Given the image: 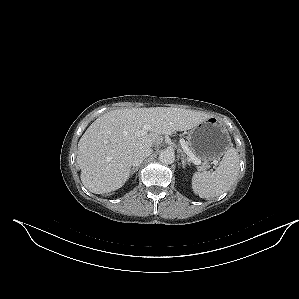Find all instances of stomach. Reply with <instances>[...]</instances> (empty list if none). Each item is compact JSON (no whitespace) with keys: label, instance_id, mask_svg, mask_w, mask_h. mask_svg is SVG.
I'll return each mask as SVG.
<instances>
[{"label":"stomach","instance_id":"stomach-1","mask_svg":"<svg viewBox=\"0 0 299 299\" xmlns=\"http://www.w3.org/2000/svg\"><path fill=\"white\" fill-rule=\"evenodd\" d=\"M191 150L200 159H219L231 146V138L226 127L215 117H210L188 132Z\"/></svg>","mask_w":299,"mask_h":299}]
</instances>
